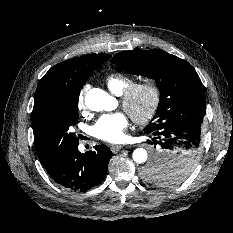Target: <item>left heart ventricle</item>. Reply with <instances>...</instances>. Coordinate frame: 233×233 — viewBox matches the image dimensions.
Wrapping results in <instances>:
<instances>
[{
  "instance_id": "1",
  "label": "left heart ventricle",
  "mask_w": 233,
  "mask_h": 233,
  "mask_svg": "<svg viewBox=\"0 0 233 233\" xmlns=\"http://www.w3.org/2000/svg\"><path fill=\"white\" fill-rule=\"evenodd\" d=\"M147 96L145 93H141L137 96L135 103H134V108L137 112H143L145 111L147 107Z\"/></svg>"
}]
</instances>
